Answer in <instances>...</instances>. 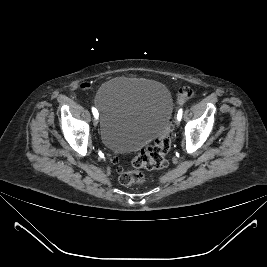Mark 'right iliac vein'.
Listing matches in <instances>:
<instances>
[{"label": "right iliac vein", "mask_w": 267, "mask_h": 267, "mask_svg": "<svg viewBox=\"0 0 267 267\" xmlns=\"http://www.w3.org/2000/svg\"><path fill=\"white\" fill-rule=\"evenodd\" d=\"M94 126L96 127L97 126V124H98V121H97V119H94Z\"/></svg>", "instance_id": "right-iliac-vein-1"}]
</instances>
